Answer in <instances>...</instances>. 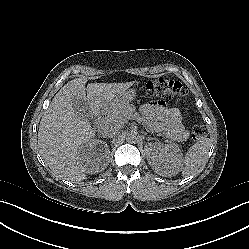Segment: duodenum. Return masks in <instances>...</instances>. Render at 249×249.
<instances>
[{
    "mask_svg": "<svg viewBox=\"0 0 249 249\" xmlns=\"http://www.w3.org/2000/svg\"><path fill=\"white\" fill-rule=\"evenodd\" d=\"M100 121H101L102 123H105V122L108 121L107 115H106L105 113L102 114V116H101V118H100Z\"/></svg>",
    "mask_w": 249,
    "mask_h": 249,
    "instance_id": "1",
    "label": "duodenum"
}]
</instances>
